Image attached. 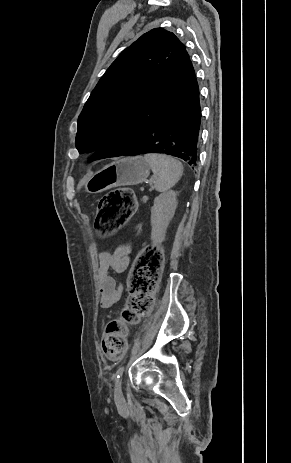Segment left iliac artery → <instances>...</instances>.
Wrapping results in <instances>:
<instances>
[{
  "mask_svg": "<svg viewBox=\"0 0 291 463\" xmlns=\"http://www.w3.org/2000/svg\"><path fill=\"white\" fill-rule=\"evenodd\" d=\"M123 371H124V366L120 367V368L116 371V373H115V379H119L120 376H122Z\"/></svg>",
  "mask_w": 291,
  "mask_h": 463,
  "instance_id": "left-iliac-artery-1",
  "label": "left iliac artery"
}]
</instances>
